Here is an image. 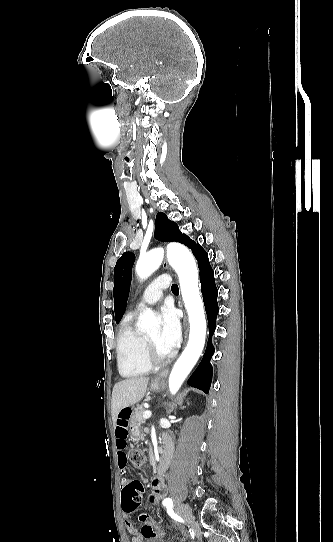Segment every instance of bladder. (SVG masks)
Here are the masks:
<instances>
[{
	"instance_id": "31cf9c89",
	"label": "bladder",
	"mask_w": 333,
	"mask_h": 542,
	"mask_svg": "<svg viewBox=\"0 0 333 542\" xmlns=\"http://www.w3.org/2000/svg\"><path fill=\"white\" fill-rule=\"evenodd\" d=\"M143 542H169V541L163 540V539H154V538H151V539H145Z\"/></svg>"
}]
</instances>
